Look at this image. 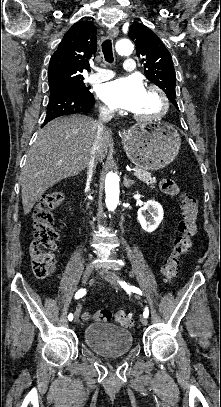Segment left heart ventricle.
<instances>
[{"label":"left heart ventricle","instance_id":"obj_1","mask_svg":"<svg viewBox=\"0 0 221 407\" xmlns=\"http://www.w3.org/2000/svg\"><path fill=\"white\" fill-rule=\"evenodd\" d=\"M160 109V102L157 95L153 92H144L138 106L132 111L139 115H153Z\"/></svg>","mask_w":221,"mask_h":407}]
</instances>
